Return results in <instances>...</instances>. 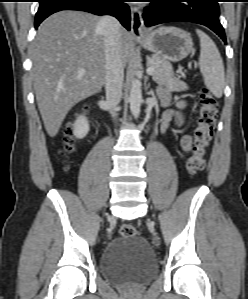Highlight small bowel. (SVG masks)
<instances>
[{
  "instance_id": "1",
  "label": "small bowel",
  "mask_w": 248,
  "mask_h": 299,
  "mask_svg": "<svg viewBox=\"0 0 248 299\" xmlns=\"http://www.w3.org/2000/svg\"><path fill=\"white\" fill-rule=\"evenodd\" d=\"M159 94L162 98V103L164 106H167L170 102V92L166 88H160ZM186 106V102L184 100H178L175 102V106L173 108H166L163 113L161 128L165 129L171 122H176L177 124L183 123V117L181 114V110ZM177 148L183 151H189L192 147V137L191 135H184L179 143L176 145Z\"/></svg>"
}]
</instances>
